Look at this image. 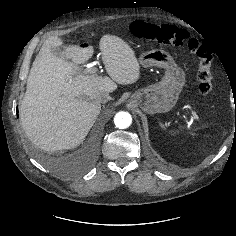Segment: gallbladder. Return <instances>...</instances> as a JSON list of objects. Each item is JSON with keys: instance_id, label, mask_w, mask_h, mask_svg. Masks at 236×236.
I'll use <instances>...</instances> for the list:
<instances>
[{"instance_id": "obj_1", "label": "gallbladder", "mask_w": 236, "mask_h": 236, "mask_svg": "<svg viewBox=\"0 0 236 236\" xmlns=\"http://www.w3.org/2000/svg\"><path fill=\"white\" fill-rule=\"evenodd\" d=\"M54 52L57 53V54H60L62 52V49L61 48H56L54 49ZM70 61V60H68Z\"/></svg>"}]
</instances>
